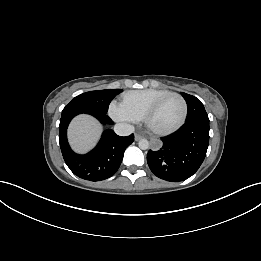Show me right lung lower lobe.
<instances>
[{"label": "right lung lower lobe", "instance_id": "right-lung-lower-lobe-1", "mask_svg": "<svg viewBox=\"0 0 261 261\" xmlns=\"http://www.w3.org/2000/svg\"><path fill=\"white\" fill-rule=\"evenodd\" d=\"M87 113L96 117L102 124H112L106 114L84 112L78 109H63L59 125V141L63 158L70 170L78 177L89 181H101L111 177L118 170L125 149L134 141V135L121 137L107 129L98 145L89 153H74L67 141V127L71 119Z\"/></svg>", "mask_w": 261, "mask_h": 261}]
</instances>
